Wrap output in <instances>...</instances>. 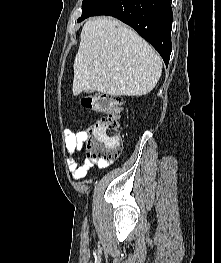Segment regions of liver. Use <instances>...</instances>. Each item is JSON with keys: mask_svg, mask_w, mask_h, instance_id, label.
<instances>
[{"mask_svg": "<svg viewBox=\"0 0 221 263\" xmlns=\"http://www.w3.org/2000/svg\"><path fill=\"white\" fill-rule=\"evenodd\" d=\"M162 59L135 31L110 17L83 26L74 60L72 91L142 96L158 83Z\"/></svg>", "mask_w": 221, "mask_h": 263, "instance_id": "6515ba94", "label": "liver"}]
</instances>
